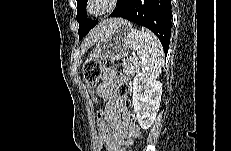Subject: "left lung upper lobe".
I'll return each mask as SVG.
<instances>
[{
	"label": "left lung upper lobe",
	"mask_w": 231,
	"mask_h": 151,
	"mask_svg": "<svg viewBox=\"0 0 231 151\" xmlns=\"http://www.w3.org/2000/svg\"><path fill=\"white\" fill-rule=\"evenodd\" d=\"M131 0H119L118 5H128ZM86 3L87 0H77V21L79 23V38H83L97 23V20H90L86 14Z\"/></svg>",
	"instance_id": "1"
}]
</instances>
